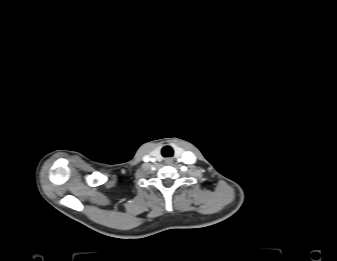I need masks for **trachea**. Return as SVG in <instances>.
Listing matches in <instances>:
<instances>
[{
  "label": "trachea",
  "mask_w": 337,
  "mask_h": 261,
  "mask_svg": "<svg viewBox=\"0 0 337 261\" xmlns=\"http://www.w3.org/2000/svg\"><path fill=\"white\" fill-rule=\"evenodd\" d=\"M163 157H172L173 156V149L170 146H165L161 150Z\"/></svg>",
  "instance_id": "3493384b"
}]
</instances>
